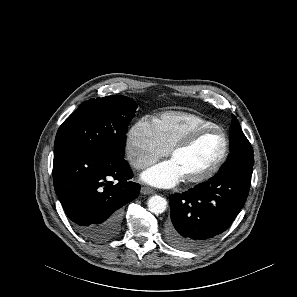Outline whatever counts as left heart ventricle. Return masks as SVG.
I'll return each instance as SVG.
<instances>
[{
	"label": "left heart ventricle",
	"mask_w": 297,
	"mask_h": 297,
	"mask_svg": "<svg viewBox=\"0 0 297 297\" xmlns=\"http://www.w3.org/2000/svg\"><path fill=\"white\" fill-rule=\"evenodd\" d=\"M223 140L217 133L200 136L191 146L176 153L172 160L180 168L183 178L198 176L208 170L219 159Z\"/></svg>",
	"instance_id": "1"
}]
</instances>
